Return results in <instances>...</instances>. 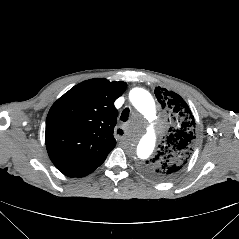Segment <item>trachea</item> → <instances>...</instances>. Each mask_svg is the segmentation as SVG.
I'll return each instance as SVG.
<instances>
[{"label": "trachea", "mask_w": 239, "mask_h": 239, "mask_svg": "<svg viewBox=\"0 0 239 239\" xmlns=\"http://www.w3.org/2000/svg\"><path fill=\"white\" fill-rule=\"evenodd\" d=\"M129 113H130V109H129V108H125V109L122 111V114H121L120 119H121L122 121L126 122V121L128 120Z\"/></svg>", "instance_id": "3493384b"}]
</instances>
